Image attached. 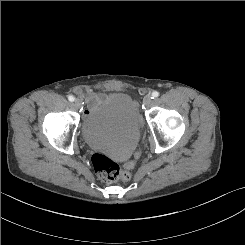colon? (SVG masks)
Instances as JSON below:
<instances>
[{"mask_svg":"<svg viewBox=\"0 0 245 245\" xmlns=\"http://www.w3.org/2000/svg\"><path fill=\"white\" fill-rule=\"evenodd\" d=\"M139 156V152H136L134 160L128 162L125 169H121L117 163L100 153L92 156V164L97 176L104 182L128 181L131 178V173L128 169L134 166L135 160Z\"/></svg>","mask_w":245,"mask_h":245,"instance_id":"obj_1","label":"colon"}]
</instances>
